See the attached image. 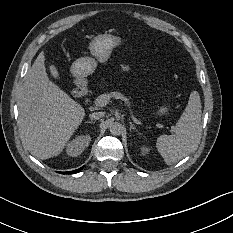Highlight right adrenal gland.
Returning a JSON list of instances; mask_svg holds the SVG:
<instances>
[{
  "mask_svg": "<svg viewBox=\"0 0 233 233\" xmlns=\"http://www.w3.org/2000/svg\"><path fill=\"white\" fill-rule=\"evenodd\" d=\"M85 123H91V124H94L95 122H94V121H86Z\"/></svg>",
  "mask_w": 233,
  "mask_h": 233,
  "instance_id": "right-adrenal-gland-1",
  "label": "right adrenal gland"
}]
</instances>
